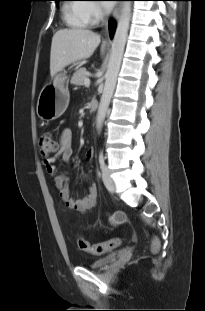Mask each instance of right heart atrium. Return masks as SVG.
Returning a JSON list of instances; mask_svg holds the SVG:
<instances>
[{
  "label": "right heart atrium",
  "mask_w": 205,
  "mask_h": 311,
  "mask_svg": "<svg viewBox=\"0 0 205 311\" xmlns=\"http://www.w3.org/2000/svg\"><path fill=\"white\" fill-rule=\"evenodd\" d=\"M86 12L91 22H96L103 16V10L96 3L87 4Z\"/></svg>",
  "instance_id": "right-heart-atrium-1"
}]
</instances>
